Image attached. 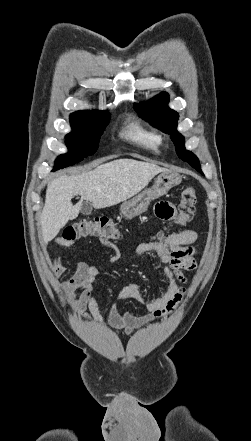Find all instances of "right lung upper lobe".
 Segmentation results:
<instances>
[{
  "instance_id": "1",
  "label": "right lung upper lobe",
  "mask_w": 251,
  "mask_h": 441,
  "mask_svg": "<svg viewBox=\"0 0 251 441\" xmlns=\"http://www.w3.org/2000/svg\"><path fill=\"white\" fill-rule=\"evenodd\" d=\"M78 112H80V111H78ZM78 112H75V113H73V114H76V113H78ZM73 114H71V115H73Z\"/></svg>"
}]
</instances>
